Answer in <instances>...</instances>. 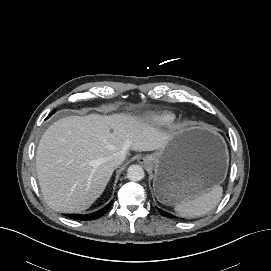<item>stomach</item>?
<instances>
[{
    "instance_id": "1",
    "label": "stomach",
    "mask_w": 271,
    "mask_h": 271,
    "mask_svg": "<svg viewBox=\"0 0 271 271\" xmlns=\"http://www.w3.org/2000/svg\"><path fill=\"white\" fill-rule=\"evenodd\" d=\"M146 158L154 171V194L166 205L193 199L222 183L229 161L224 139L205 125L181 127Z\"/></svg>"
}]
</instances>
